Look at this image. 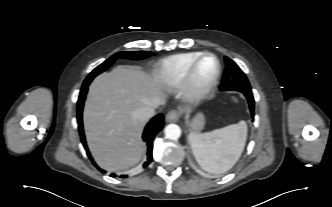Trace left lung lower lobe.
Here are the masks:
<instances>
[{"mask_svg":"<svg viewBox=\"0 0 332 207\" xmlns=\"http://www.w3.org/2000/svg\"><path fill=\"white\" fill-rule=\"evenodd\" d=\"M243 94L245 95V97L248 100L251 115L254 116V98L252 95V91H246V92H243Z\"/></svg>","mask_w":332,"mask_h":207,"instance_id":"left-lung-lower-lobe-1","label":"left lung lower lobe"}]
</instances>
